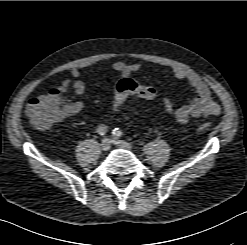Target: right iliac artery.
<instances>
[{
  "label": "right iliac artery",
  "instance_id": "1",
  "mask_svg": "<svg viewBox=\"0 0 247 245\" xmlns=\"http://www.w3.org/2000/svg\"><path fill=\"white\" fill-rule=\"evenodd\" d=\"M106 132H107V126H105V125L98 126L97 133L99 135H105Z\"/></svg>",
  "mask_w": 247,
  "mask_h": 245
}]
</instances>
